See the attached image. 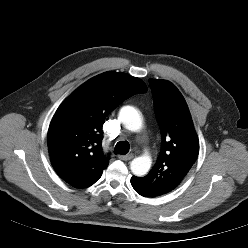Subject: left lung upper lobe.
<instances>
[{
  "label": "left lung upper lobe",
  "mask_w": 248,
  "mask_h": 248,
  "mask_svg": "<svg viewBox=\"0 0 248 248\" xmlns=\"http://www.w3.org/2000/svg\"><path fill=\"white\" fill-rule=\"evenodd\" d=\"M156 118L161 130V151L148 175L131 181L155 196L174 190L186 178L199 153V142L186 101L167 80L149 79Z\"/></svg>",
  "instance_id": "5c2ea615"
}]
</instances>
